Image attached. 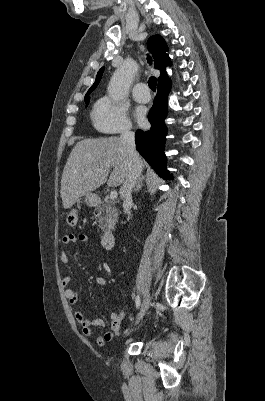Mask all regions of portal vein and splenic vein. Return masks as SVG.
Returning <instances> with one entry per match:
<instances>
[{
	"mask_svg": "<svg viewBox=\"0 0 265 401\" xmlns=\"http://www.w3.org/2000/svg\"><path fill=\"white\" fill-rule=\"evenodd\" d=\"M117 196H118L117 190H111L110 198H113V201H114V198H117Z\"/></svg>",
	"mask_w": 265,
	"mask_h": 401,
	"instance_id": "obj_1",
	"label": "portal vein and splenic vein"
}]
</instances>
